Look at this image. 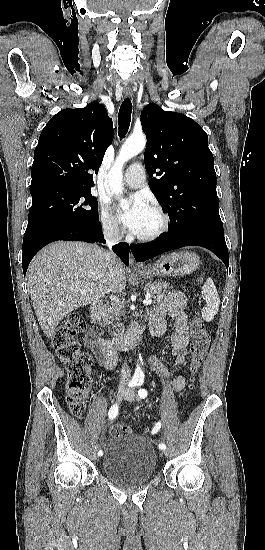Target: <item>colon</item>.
<instances>
[{
    "instance_id": "colon-1",
    "label": "colon",
    "mask_w": 265,
    "mask_h": 550,
    "mask_svg": "<svg viewBox=\"0 0 265 550\" xmlns=\"http://www.w3.org/2000/svg\"><path fill=\"white\" fill-rule=\"evenodd\" d=\"M84 329L81 315L75 311L66 316L52 337L55 354L67 372L66 400L71 413L78 417L84 414L85 396L93 383L92 358L87 352L81 350L79 343L75 340V336ZM190 330L192 342L189 388H192L194 376L209 352L212 336L199 315L193 317ZM129 433V427L122 424L114 425L110 430L111 437H123Z\"/></svg>"
}]
</instances>
